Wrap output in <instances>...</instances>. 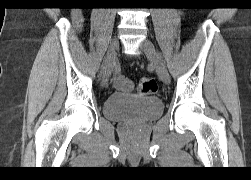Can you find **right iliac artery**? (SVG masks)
Segmentation results:
<instances>
[{
    "label": "right iliac artery",
    "instance_id": "1",
    "mask_svg": "<svg viewBox=\"0 0 251 180\" xmlns=\"http://www.w3.org/2000/svg\"><path fill=\"white\" fill-rule=\"evenodd\" d=\"M105 63H106V60H105ZM105 63L102 65V69H104Z\"/></svg>",
    "mask_w": 251,
    "mask_h": 180
}]
</instances>
